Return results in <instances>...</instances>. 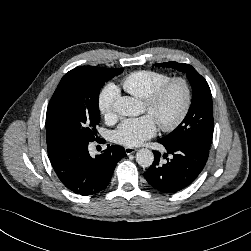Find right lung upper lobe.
<instances>
[{
	"mask_svg": "<svg viewBox=\"0 0 251 251\" xmlns=\"http://www.w3.org/2000/svg\"><path fill=\"white\" fill-rule=\"evenodd\" d=\"M46 139L48 154H52L64 142L63 140L57 139L52 135L48 125H46Z\"/></svg>",
	"mask_w": 251,
	"mask_h": 251,
	"instance_id": "right-lung-upper-lobe-1",
	"label": "right lung upper lobe"
}]
</instances>
